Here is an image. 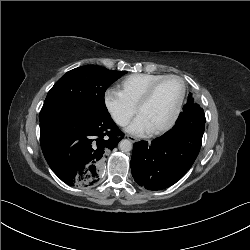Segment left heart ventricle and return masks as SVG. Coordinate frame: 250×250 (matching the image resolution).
Here are the masks:
<instances>
[{
  "mask_svg": "<svg viewBox=\"0 0 250 250\" xmlns=\"http://www.w3.org/2000/svg\"><path fill=\"white\" fill-rule=\"evenodd\" d=\"M181 93V84L176 79H167L155 90L152 98L139 112L150 130L164 125L172 116Z\"/></svg>",
  "mask_w": 250,
  "mask_h": 250,
  "instance_id": "1",
  "label": "left heart ventricle"
}]
</instances>
